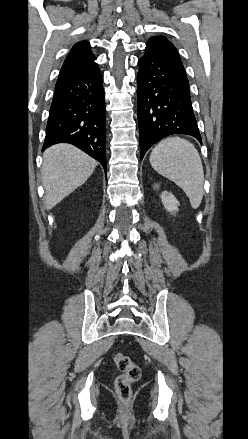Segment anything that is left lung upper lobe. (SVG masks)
Listing matches in <instances>:
<instances>
[{"label": "left lung upper lobe", "instance_id": "left-lung-upper-lobe-1", "mask_svg": "<svg viewBox=\"0 0 248 439\" xmlns=\"http://www.w3.org/2000/svg\"><path fill=\"white\" fill-rule=\"evenodd\" d=\"M149 41L162 43V44L168 45V46H170V47L176 49V48L174 47V45H173L170 41H168L165 37H162V36H159V37H152V38L149 39Z\"/></svg>", "mask_w": 248, "mask_h": 439}]
</instances>
